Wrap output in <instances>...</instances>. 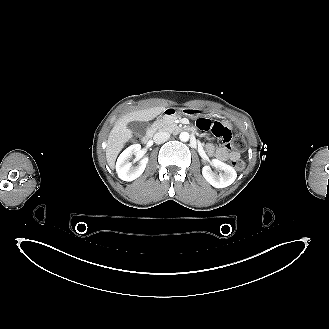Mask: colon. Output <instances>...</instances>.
<instances>
[{"instance_id":"1","label":"colon","mask_w":329,"mask_h":329,"mask_svg":"<svg viewBox=\"0 0 329 329\" xmlns=\"http://www.w3.org/2000/svg\"><path fill=\"white\" fill-rule=\"evenodd\" d=\"M203 131H205V130H203ZM230 143H232V145L239 150H244L246 148V140L241 135H236L235 137H233ZM232 166L236 170H242L244 168L245 164L242 160L236 159V160H232Z\"/></svg>"}]
</instances>
